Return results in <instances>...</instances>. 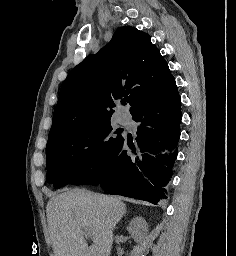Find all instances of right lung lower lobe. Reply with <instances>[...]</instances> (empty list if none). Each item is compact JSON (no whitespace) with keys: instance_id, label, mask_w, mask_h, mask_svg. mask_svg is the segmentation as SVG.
I'll list each match as a JSON object with an SVG mask.
<instances>
[{"instance_id":"right-lung-lower-lobe-1","label":"right lung lower lobe","mask_w":236,"mask_h":256,"mask_svg":"<svg viewBox=\"0 0 236 256\" xmlns=\"http://www.w3.org/2000/svg\"><path fill=\"white\" fill-rule=\"evenodd\" d=\"M180 96L175 81L149 97L132 113L138 122L134 144L126 137L107 158L70 184L98 185L110 194L157 204L166 198L177 157L181 122Z\"/></svg>"}]
</instances>
